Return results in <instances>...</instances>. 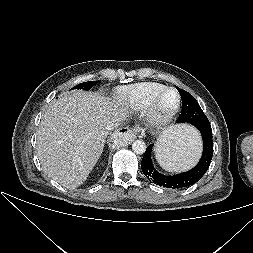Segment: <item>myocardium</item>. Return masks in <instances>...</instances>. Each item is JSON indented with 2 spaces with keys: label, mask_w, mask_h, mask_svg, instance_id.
<instances>
[{
  "label": "myocardium",
  "mask_w": 253,
  "mask_h": 253,
  "mask_svg": "<svg viewBox=\"0 0 253 253\" xmlns=\"http://www.w3.org/2000/svg\"><path fill=\"white\" fill-rule=\"evenodd\" d=\"M168 91H174L177 94L176 105L168 112L162 113L160 111V102L164 94ZM181 106V95L179 91L174 87H165L159 93H157L152 100L149 102L146 108V121L149 126L153 128H161L168 124L174 116L178 113Z\"/></svg>",
  "instance_id": "f54148a6"
}]
</instances>
